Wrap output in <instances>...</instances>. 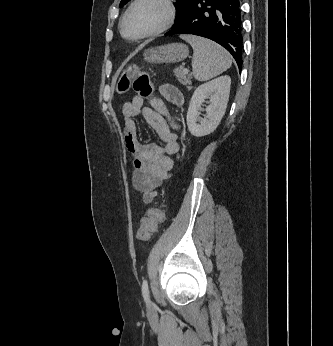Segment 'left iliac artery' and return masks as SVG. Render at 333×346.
<instances>
[{
  "mask_svg": "<svg viewBox=\"0 0 333 346\" xmlns=\"http://www.w3.org/2000/svg\"><path fill=\"white\" fill-rule=\"evenodd\" d=\"M142 294L145 301L149 302V288H148V282L146 279H144L142 283Z\"/></svg>",
  "mask_w": 333,
  "mask_h": 346,
  "instance_id": "44dca946",
  "label": "left iliac artery"
}]
</instances>
